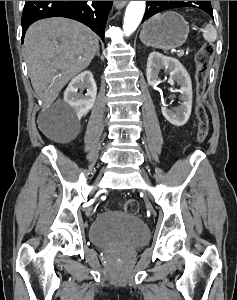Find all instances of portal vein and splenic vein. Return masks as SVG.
<instances>
[{"instance_id": "18ae733b", "label": "portal vein and splenic vein", "mask_w": 237, "mask_h": 300, "mask_svg": "<svg viewBox=\"0 0 237 300\" xmlns=\"http://www.w3.org/2000/svg\"><path fill=\"white\" fill-rule=\"evenodd\" d=\"M179 52H180V53H179L180 58H184V55H185V54L183 53L184 51L182 50V48H179Z\"/></svg>"}]
</instances>
